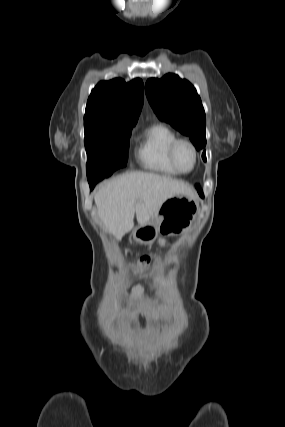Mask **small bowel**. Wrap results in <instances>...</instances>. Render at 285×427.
<instances>
[{
    "instance_id": "small-bowel-1",
    "label": "small bowel",
    "mask_w": 285,
    "mask_h": 427,
    "mask_svg": "<svg viewBox=\"0 0 285 427\" xmlns=\"http://www.w3.org/2000/svg\"><path fill=\"white\" fill-rule=\"evenodd\" d=\"M164 244L165 243L162 242V245H164ZM142 292H143L142 286L136 285L132 291V299L134 301H137L140 298ZM158 294L162 295L161 292H159ZM141 317L146 321L147 333L149 334V336L151 338H153L155 336V326H156V315H155V313L152 310L145 308L141 311ZM132 323H133V325H135V323H136L135 318L132 319Z\"/></svg>"
}]
</instances>
